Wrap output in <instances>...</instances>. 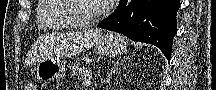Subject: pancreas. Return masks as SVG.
Segmentation results:
<instances>
[{"label": "pancreas", "mask_w": 216, "mask_h": 90, "mask_svg": "<svg viewBox=\"0 0 216 90\" xmlns=\"http://www.w3.org/2000/svg\"><path fill=\"white\" fill-rule=\"evenodd\" d=\"M72 74L81 82H86V80L91 78V72H89L88 68H73Z\"/></svg>", "instance_id": "pancreas-1"}]
</instances>
